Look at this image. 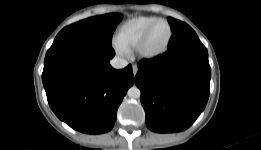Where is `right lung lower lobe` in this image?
<instances>
[{
  "label": "right lung lower lobe",
  "mask_w": 261,
  "mask_h": 150,
  "mask_svg": "<svg viewBox=\"0 0 261 150\" xmlns=\"http://www.w3.org/2000/svg\"><path fill=\"white\" fill-rule=\"evenodd\" d=\"M111 45L66 41L47 51L43 85L48 103L73 129L100 134L112 129L117 109L134 84L132 66L115 70Z\"/></svg>",
  "instance_id": "right-lung-lower-lobe-1"
}]
</instances>
